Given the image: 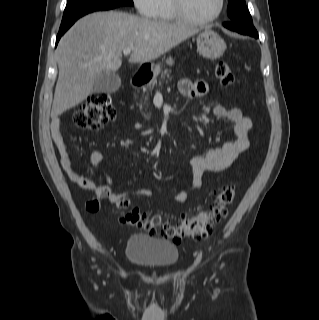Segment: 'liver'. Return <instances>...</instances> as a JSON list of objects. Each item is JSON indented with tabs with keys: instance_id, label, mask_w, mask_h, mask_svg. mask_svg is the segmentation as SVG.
I'll return each instance as SVG.
<instances>
[{
	"instance_id": "6515ba94",
	"label": "liver",
	"mask_w": 319,
	"mask_h": 320,
	"mask_svg": "<svg viewBox=\"0 0 319 320\" xmlns=\"http://www.w3.org/2000/svg\"><path fill=\"white\" fill-rule=\"evenodd\" d=\"M199 30L123 12H96L79 19L61 38L56 50L59 76L51 117L83 102L95 79L115 72L125 48L133 47L129 63L155 60Z\"/></svg>"
}]
</instances>
